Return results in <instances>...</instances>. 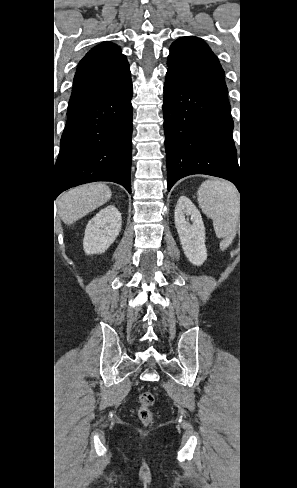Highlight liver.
Wrapping results in <instances>:
<instances>
[{
  "mask_svg": "<svg viewBox=\"0 0 297 488\" xmlns=\"http://www.w3.org/2000/svg\"><path fill=\"white\" fill-rule=\"evenodd\" d=\"M112 192L102 183L87 184L63 193L57 200L58 213L67 225L105 204Z\"/></svg>",
  "mask_w": 297,
  "mask_h": 488,
  "instance_id": "6515ba94",
  "label": "liver"
}]
</instances>
